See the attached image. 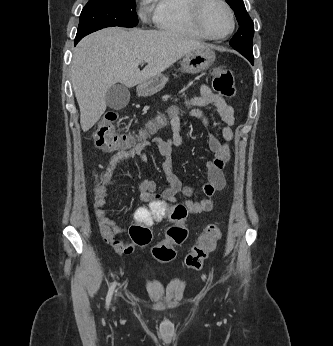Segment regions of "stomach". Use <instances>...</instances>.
<instances>
[{"instance_id":"1","label":"stomach","mask_w":333,"mask_h":346,"mask_svg":"<svg viewBox=\"0 0 333 346\" xmlns=\"http://www.w3.org/2000/svg\"><path fill=\"white\" fill-rule=\"evenodd\" d=\"M215 61V53L208 47L187 53L181 62V72L196 74L207 70ZM168 78L159 74L151 77L137 86V94L148 97L164 88Z\"/></svg>"}]
</instances>
